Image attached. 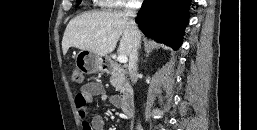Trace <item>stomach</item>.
<instances>
[{
    "mask_svg": "<svg viewBox=\"0 0 257 130\" xmlns=\"http://www.w3.org/2000/svg\"><path fill=\"white\" fill-rule=\"evenodd\" d=\"M106 60L105 56H99L88 50H81L76 57L79 67L87 74L103 71Z\"/></svg>",
    "mask_w": 257,
    "mask_h": 130,
    "instance_id": "0dacf381",
    "label": "stomach"
}]
</instances>
